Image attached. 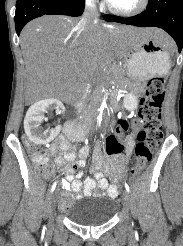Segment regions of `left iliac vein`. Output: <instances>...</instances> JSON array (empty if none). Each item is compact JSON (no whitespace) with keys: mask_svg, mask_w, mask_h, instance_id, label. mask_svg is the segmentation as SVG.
Wrapping results in <instances>:
<instances>
[{"mask_svg":"<svg viewBox=\"0 0 183 246\" xmlns=\"http://www.w3.org/2000/svg\"><path fill=\"white\" fill-rule=\"evenodd\" d=\"M122 200H123V206L125 210L129 212L131 208V198H130L129 193L126 190L123 192Z\"/></svg>","mask_w":183,"mask_h":246,"instance_id":"left-iliac-vein-1","label":"left iliac vein"}]
</instances>
